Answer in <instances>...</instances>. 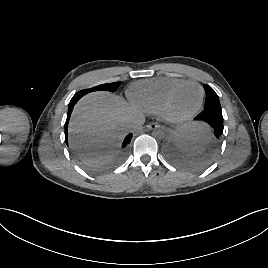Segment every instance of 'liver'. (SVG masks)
<instances>
[{
  "label": "liver",
  "mask_w": 268,
  "mask_h": 268,
  "mask_svg": "<svg viewBox=\"0 0 268 268\" xmlns=\"http://www.w3.org/2000/svg\"><path fill=\"white\" fill-rule=\"evenodd\" d=\"M136 113L119 96L93 92L75 106L69 123V138L80 150L118 147L130 131Z\"/></svg>",
  "instance_id": "liver-1"
}]
</instances>
